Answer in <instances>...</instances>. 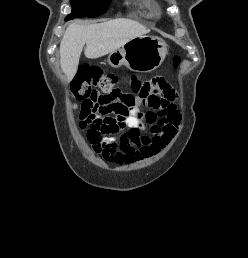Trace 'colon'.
<instances>
[{
	"label": "colon",
	"instance_id": "obj_1",
	"mask_svg": "<svg viewBox=\"0 0 248 258\" xmlns=\"http://www.w3.org/2000/svg\"><path fill=\"white\" fill-rule=\"evenodd\" d=\"M181 58L175 55L172 64L176 68ZM98 82L99 91L92 86L91 80ZM117 80L112 75L99 76L98 70L83 66L76 79L72 95L73 99L82 102V109L86 112L88 127L86 132L89 140H101L106 133L115 132L126 126L130 119L129 111L115 100V85ZM133 92H139V84L134 81Z\"/></svg>",
	"mask_w": 248,
	"mask_h": 258
}]
</instances>
